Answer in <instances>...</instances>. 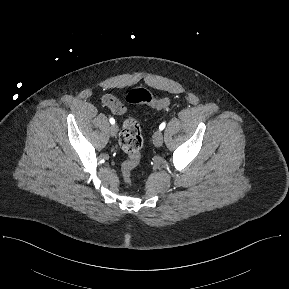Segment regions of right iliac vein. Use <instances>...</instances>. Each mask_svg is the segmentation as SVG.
I'll list each match as a JSON object with an SVG mask.
<instances>
[{"label": "right iliac vein", "mask_w": 289, "mask_h": 289, "mask_svg": "<svg viewBox=\"0 0 289 289\" xmlns=\"http://www.w3.org/2000/svg\"><path fill=\"white\" fill-rule=\"evenodd\" d=\"M109 130H110L111 136L114 137L118 133V126L117 125H112Z\"/></svg>", "instance_id": "63e3f726"}]
</instances>
